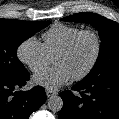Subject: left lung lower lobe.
<instances>
[{
  "label": "left lung lower lobe",
  "mask_w": 119,
  "mask_h": 119,
  "mask_svg": "<svg viewBox=\"0 0 119 119\" xmlns=\"http://www.w3.org/2000/svg\"><path fill=\"white\" fill-rule=\"evenodd\" d=\"M60 93L64 105L59 119H119V76L82 80Z\"/></svg>",
  "instance_id": "obj_1"
}]
</instances>
